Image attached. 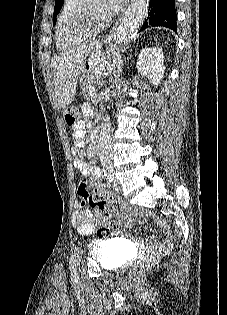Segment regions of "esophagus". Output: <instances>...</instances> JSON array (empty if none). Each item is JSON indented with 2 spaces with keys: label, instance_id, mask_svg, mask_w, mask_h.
I'll use <instances>...</instances> for the list:
<instances>
[{
  "label": "esophagus",
  "instance_id": "obj_1",
  "mask_svg": "<svg viewBox=\"0 0 227 315\" xmlns=\"http://www.w3.org/2000/svg\"><path fill=\"white\" fill-rule=\"evenodd\" d=\"M117 29H118V24H116L115 27L113 28L112 35H111L112 38L116 37Z\"/></svg>",
  "mask_w": 227,
  "mask_h": 315
}]
</instances>
